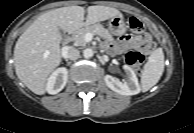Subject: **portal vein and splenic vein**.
Returning a JSON list of instances; mask_svg holds the SVG:
<instances>
[{
	"label": "portal vein and splenic vein",
	"instance_id": "18ae733b",
	"mask_svg": "<svg viewBox=\"0 0 194 133\" xmlns=\"http://www.w3.org/2000/svg\"><path fill=\"white\" fill-rule=\"evenodd\" d=\"M92 37H93V35H92L91 33H87V34L85 35V40H86V42H90V41L92 40Z\"/></svg>",
	"mask_w": 194,
	"mask_h": 133
}]
</instances>
